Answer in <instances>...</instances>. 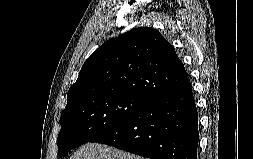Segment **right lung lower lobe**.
Masks as SVG:
<instances>
[{
  "label": "right lung lower lobe",
  "instance_id": "98d812e1",
  "mask_svg": "<svg viewBox=\"0 0 253 159\" xmlns=\"http://www.w3.org/2000/svg\"><path fill=\"white\" fill-rule=\"evenodd\" d=\"M198 115L189 80L161 93L91 142L150 159H197Z\"/></svg>",
  "mask_w": 253,
  "mask_h": 159
}]
</instances>
